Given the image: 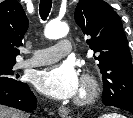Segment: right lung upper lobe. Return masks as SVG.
Here are the masks:
<instances>
[{"instance_id":"right-lung-upper-lobe-1","label":"right lung upper lobe","mask_w":133,"mask_h":118,"mask_svg":"<svg viewBox=\"0 0 133 118\" xmlns=\"http://www.w3.org/2000/svg\"><path fill=\"white\" fill-rule=\"evenodd\" d=\"M28 28V19L16 0L0 3V62H15Z\"/></svg>"}]
</instances>
